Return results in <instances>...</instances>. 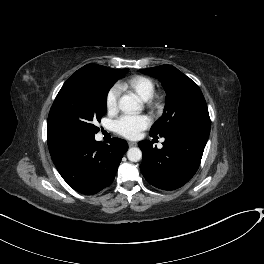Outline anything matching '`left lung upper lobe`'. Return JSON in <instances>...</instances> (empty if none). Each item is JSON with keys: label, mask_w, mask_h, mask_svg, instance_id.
Here are the masks:
<instances>
[{"label": "left lung upper lobe", "mask_w": 264, "mask_h": 264, "mask_svg": "<svg viewBox=\"0 0 264 264\" xmlns=\"http://www.w3.org/2000/svg\"><path fill=\"white\" fill-rule=\"evenodd\" d=\"M158 78L167 92L162 117L153 124L150 136L165 137L187 123L210 125L204 96L198 85L171 65L140 69Z\"/></svg>", "instance_id": "obj_1"}]
</instances>
